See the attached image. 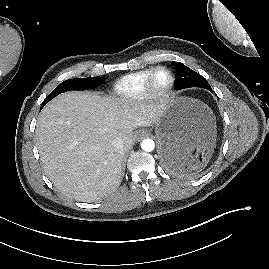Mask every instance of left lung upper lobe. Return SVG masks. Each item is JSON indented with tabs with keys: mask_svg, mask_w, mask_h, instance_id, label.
<instances>
[{
	"mask_svg": "<svg viewBox=\"0 0 269 269\" xmlns=\"http://www.w3.org/2000/svg\"><path fill=\"white\" fill-rule=\"evenodd\" d=\"M172 64L176 68V90L189 87H202L209 91H212L211 86L203 76L191 70L180 62L173 61Z\"/></svg>",
	"mask_w": 269,
	"mask_h": 269,
	"instance_id": "5c2ea615",
	"label": "left lung upper lobe"
}]
</instances>
